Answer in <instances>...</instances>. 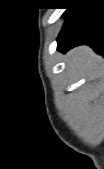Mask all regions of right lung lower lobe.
<instances>
[{
	"label": "right lung lower lobe",
	"mask_w": 104,
	"mask_h": 169,
	"mask_svg": "<svg viewBox=\"0 0 104 169\" xmlns=\"http://www.w3.org/2000/svg\"><path fill=\"white\" fill-rule=\"evenodd\" d=\"M66 22L57 38L58 49L67 51L86 44L98 54L104 55V11L101 8L82 5L68 8Z\"/></svg>",
	"instance_id": "98d812e1"
}]
</instances>
